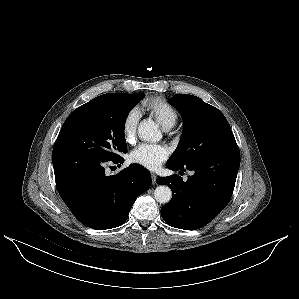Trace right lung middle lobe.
I'll return each instance as SVG.
<instances>
[{
    "label": "right lung middle lobe",
    "instance_id": "dd1d6c3e",
    "mask_svg": "<svg viewBox=\"0 0 299 299\" xmlns=\"http://www.w3.org/2000/svg\"><path fill=\"white\" fill-rule=\"evenodd\" d=\"M145 94H104L78 107L65 120L54 149L69 148L104 160L127 152L124 125Z\"/></svg>",
    "mask_w": 299,
    "mask_h": 299
}]
</instances>
